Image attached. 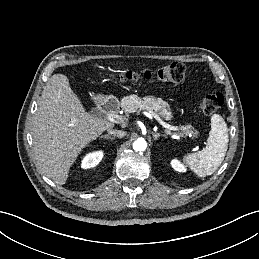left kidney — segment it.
<instances>
[{"mask_svg": "<svg viewBox=\"0 0 259 259\" xmlns=\"http://www.w3.org/2000/svg\"><path fill=\"white\" fill-rule=\"evenodd\" d=\"M171 166L178 172H186V167L177 159L171 161Z\"/></svg>", "mask_w": 259, "mask_h": 259, "instance_id": "5707ae66", "label": "left kidney"}]
</instances>
